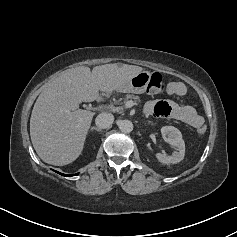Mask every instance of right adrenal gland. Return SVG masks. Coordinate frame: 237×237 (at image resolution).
<instances>
[{
    "label": "right adrenal gland",
    "instance_id": "2a0ac1e0",
    "mask_svg": "<svg viewBox=\"0 0 237 237\" xmlns=\"http://www.w3.org/2000/svg\"><path fill=\"white\" fill-rule=\"evenodd\" d=\"M90 130H96V131H98V132H101V131H102L101 128L96 127V126L91 127Z\"/></svg>",
    "mask_w": 237,
    "mask_h": 237
}]
</instances>
